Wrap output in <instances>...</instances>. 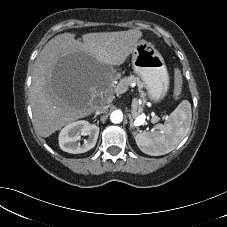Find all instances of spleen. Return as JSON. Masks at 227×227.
<instances>
[{"mask_svg": "<svg viewBox=\"0 0 227 227\" xmlns=\"http://www.w3.org/2000/svg\"><path fill=\"white\" fill-rule=\"evenodd\" d=\"M191 119V104L183 100L169 115L160 130L135 134L136 144L143 153L151 156L168 154L189 132Z\"/></svg>", "mask_w": 227, "mask_h": 227, "instance_id": "1", "label": "spleen"}]
</instances>
